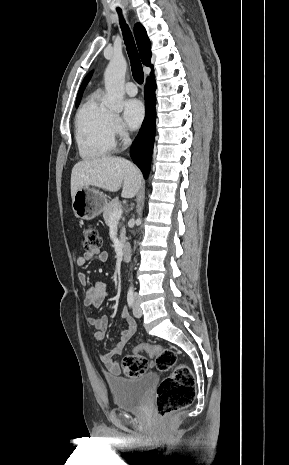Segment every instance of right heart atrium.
<instances>
[{"label":"right heart atrium","mask_w":289,"mask_h":465,"mask_svg":"<svg viewBox=\"0 0 289 465\" xmlns=\"http://www.w3.org/2000/svg\"><path fill=\"white\" fill-rule=\"evenodd\" d=\"M111 130L114 137H117L121 140H126L128 134L122 124L121 119L118 116H112L111 118Z\"/></svg>","instance_id":"obj_1"}]
</instances>
